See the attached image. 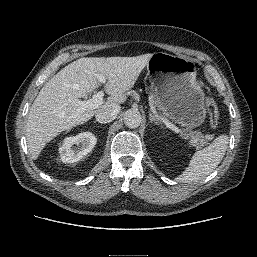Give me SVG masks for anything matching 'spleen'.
Returning <instances> with one entry per match:
<instances>
[{"instance_id": "spleen-1", "label": "spleen", "mask_w": 257, "mask_h": 257, "mask_svg": "<svg viewBox=\"0 0 257 257\" xmlns=\"http://www.w3.org/2000/svg\"><path fill=\"white\" fill-rule=\"evenodd\" d=\"M228 143L229 137L220 135L208 147L195 152L188 167L176 177V181L188 183L211 173L222 161Z\"/></svg>"}]
</instances>
